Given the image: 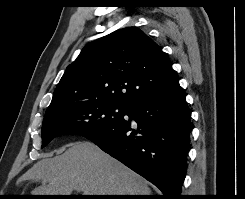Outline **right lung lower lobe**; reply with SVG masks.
Returning a JSON list of instances; mask_svg holds the SVG:
<instances>
[{
  "label": "right lung lower lobe",
  "instance_id": "98d812e1",
  "mask_svg": "<svg viewBox=\"0 0 245 199\" xmlns=\"http://www.w3.org/2000/svg\"><path fill=\"white\" fill-rule=\"evenodd\" d=\"M190 118L178 83L164 94L129 105L122 119L88 139L156 185L163 199H181Z\"/></svg>",
  "mask_w": 245,
  "mask_h": 199
}]
</instances>
